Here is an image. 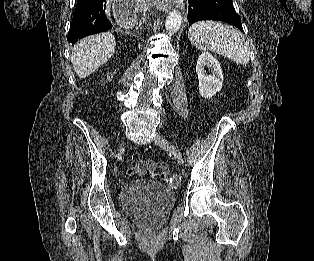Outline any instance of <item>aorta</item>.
<instances>
[{"mask_svg":"<svg viewBox=\"0 0 314 261\" xmlns=\"http://www.w3.org/2000/svg\"><path fill=\"white\" fill-rule=\"evenodd\" d=\"M182 15L178 11H172L166 18L165 28L170 34H175L181 27Z\"/></svg>","mask_w":314,"mask_h":261,"instance_id":"aorta-1","label":"aorta"}]
</instances>
